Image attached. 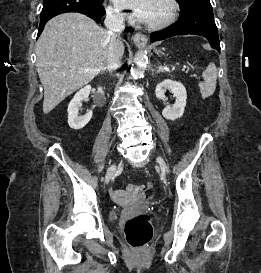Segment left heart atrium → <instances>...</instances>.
<instances>
[{
    "instance_id": "39dd6f15",
    "label": "left heart atrium",
    "mask_w": 261,
    "mask_h": 273,
    "mask_svg": "<svg viewBox=\"0 0 261 273\" xmlns=\"http://www.w3.org/2000/svg\"><path fill=\"white\" fill-rule=\"evenodd\" d=\"M114 3L123 9L130 10L131 17L140 21L148 22L154 0H113Z\"/></svg>"
}]
</instances>
